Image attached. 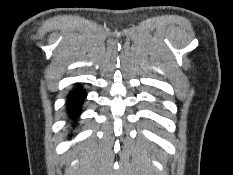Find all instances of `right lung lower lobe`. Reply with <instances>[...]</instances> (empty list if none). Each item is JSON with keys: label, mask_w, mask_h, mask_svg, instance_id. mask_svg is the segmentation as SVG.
I'll use <instances>...</instances> for the list:
<instances>
[{"label": "right lung lower lobe", "mask_w": 233, "mask_h": 175, "mask_svg": "<svg viewBox=\"0 0 233 175\" xmlns=\"http://www.w3.org/2000/svg\"><path fill=\"white\" fill-rule=\"evenodd\" d=\"M87 96V92L82 86H78L76 89L69 93L68 100L66 102V110L69 118H78L81 113L83 101Z\"/></svg>", "instance_id": "98d812e1"}]
</instances>
